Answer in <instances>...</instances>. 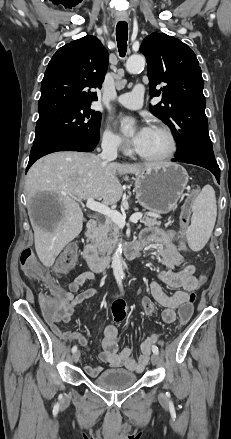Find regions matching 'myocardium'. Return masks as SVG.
<instances>
[{
	"instance_id": "myocardium-1",
	"label": "myocardium",
	"mask_w": 231,
	"mask_h": 439,
	"mask_svg": "<svg viewBox=\"0 0 231 439\" xmlns=\"http://www.w3.org/2000/svg\"><path fill=\"white\" fill-rule=\"evenodd\" d=\"M151 128L158 129L166 135V137L168 138V141H169L168 150L165 153H163L162 155H158V156H147V155L139 153L138 151H136V155L139 158L146 160V161H150V162H161V161H165V160L172 158L178 149V142H177V139H176L173 131L168 126L161 124V123H155L152 125Z\"/></svg>"
}]
</instances>
